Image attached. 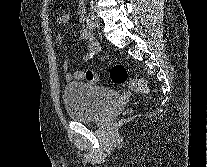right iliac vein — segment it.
Masks as SVG:
<instances>
[{
    "instance_id": "right-iliac-vein-1",
    "label": "right iliac vein",
    "mask_w": 207,
    "mask_h": 167,
    "mask_svg": "<svg viewBox=\"0 0 207 167\" xmlns=\"http://www.w3.org/2000/svg\"><path fill=\"white\" fill-rule=\"evenodd\" d=\"M93 23H94V26H96V27H99V25H100L99 20H98L97 16L95 15V11H93Z\"/></svg>"
}]
</instances>
